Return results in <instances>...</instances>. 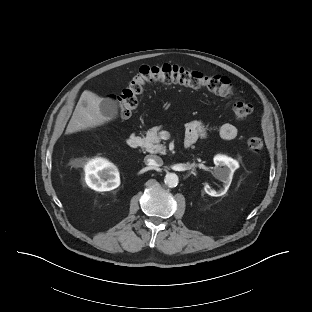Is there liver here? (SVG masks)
Instances as JSON below:
<instances>
[{
    "label": "liver",
    "mask_w": 312,
    "mask_h": 312,
    "mask_svg": "<svg viewBox=\"0 0 312 312\" xmlns=\"http://www.w3.org/2000/svg\"><path fill=\"white\" fill-rule=\"evenodd\" d=\"M101 98L89 91L85 90L73 112V115L66 128V134H72L90 128H96L107 122L99 109Z\"/></svg>",
    "instance_id": "6515ba94"
}]
</instances>
